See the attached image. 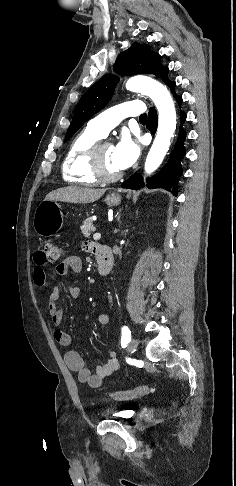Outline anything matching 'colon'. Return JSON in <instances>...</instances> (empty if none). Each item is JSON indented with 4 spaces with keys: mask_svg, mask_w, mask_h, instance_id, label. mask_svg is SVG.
<instances>
[{
    "mask_svg": "<svg viewBox=\"0 0 236 486\" xmlns=\"http://www.w3.org/2000/svg\"><path fill=\"white\" fill-rule=\"evenodd\" d=\"M41 254L45 262H54L61 258L63 249L59 244L53 241H47L44 244ZM152 390L153 389L150 385L143 384L125 391H112L110 392L109 396L111 399L116 401H128L146 396L150 394Z\"/></svg>",
    "mask_w": 236,
    "mask_h": 486,
    "instance_id": "1",
    "label": "colon"
}]
</instances>
